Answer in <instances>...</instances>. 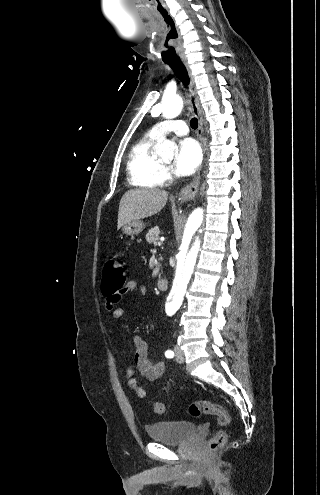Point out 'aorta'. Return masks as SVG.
I'll list each match as a JSON object with an SVG mask.
<instances>
[{
    "label": "aorta",
    "instance_id": "1",
    "mask_svg": "<svg viewBox=\"0 0 320 495\" xmlns=\"http://www.w3.org/2000/svg\"><path fill=\"white\" fill-rule=\"evenodd\" d=\"M184 102L179 96H166L159 105H155L151 113L153 115L162 114L166 119H173L179 116L183 109ZM176 145L170 140H163L156 146L159 156L172 158ZM213 207L205 205L196 208L184 221L178 230V252L176 258V274L173 281L171 293L166 304V312L170 315L176 313L180 308L183 297L187 290V285L200 254L203 238L210 227V217Z\"/></svg>",
    "mask_w": 320,
    "mask_h": 495
}]
</instances>
